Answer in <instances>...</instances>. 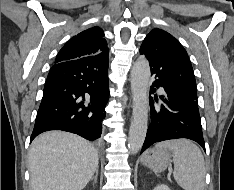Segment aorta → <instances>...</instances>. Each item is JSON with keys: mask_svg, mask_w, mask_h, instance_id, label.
<instances>
[{"mask_svg": "<svg viewBox=\"0 0 234 190\" xmlns=\"http://www.w3.org/2000/svg\"><path fill=\"white\" fill-rule=\"evenodd\" d=\"M150 67L148 61L139 58L131 70V91L133 98L132 121L129 129L128 148L136 154L142 147L148 123V90Z\"/></svg>", "mask_w": 234, "mask_h": 190, "instance_id": "1", "label": "aorta"}]
</instances>
